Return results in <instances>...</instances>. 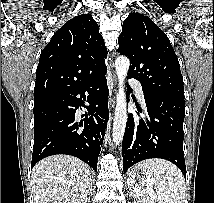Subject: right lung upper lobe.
Returning <instances> with one entry per match:
<instances>
[{
  "label": "right lung upper lobe",
  "mask_w": 214,
  "mask_h": 203,
  "mask_svg": "<svg viewBox=\"0 0 214 203\" xmlns=\"http://www.w3.org/2000/svg\"><path fill=\"white\" fill-rule=\"evenodd\" d=\"M107 49L90 14L66 22L40 54L34 100L59 93L104 73Z\"/></svg>",
  "instance_id": "right-lung-upper-lobe-1"
}]
</instances>
